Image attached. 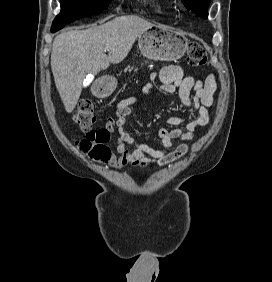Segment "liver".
Listing matches in <instances>:
<instances>
[{"instance_id": "1", "label": "liver", "mask_w": 272, "mask_h": 282, "mask_svg": "<svg viewBox=\"0 0 272 282\" xmlns=\"http://www.w3.org/2000/svg\"><path fill=\"white\" fill-rule=\"evenodd\" d=\"M152 26L143 18L125 15L99 26L59 34L52 45L51 70L66 112L74 110L85 77L120 63L137 37ZM106 46L108 56L104 54Z\"/></svg>"}]
</instances>
